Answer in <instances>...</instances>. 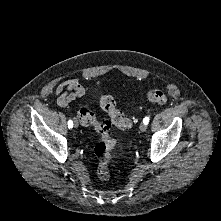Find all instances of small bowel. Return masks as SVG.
Here are the masks:
<instances>
[{
    "instance_id": "small-bowel-1",
    "label": "small bowel",
    "mask_w": 221,
    "mask_h": 221,
    "mask_svg": "<svg viewBox=\"0 0 221 221\" xmlns=\"http://www.w3.org/2000/svg\"><path fill=\"white\" fill-rule=\"evenodd\" d=\"M85 92L86 90L79 79H67L56 88V94L59 95L57 102L60 106H65L75 98L82 97Z\"/></svg>"
}]
</instances>
